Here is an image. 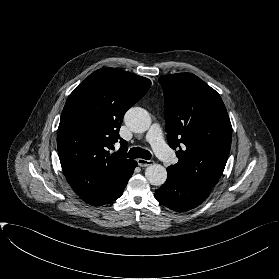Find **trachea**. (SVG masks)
Listing matches in <instances>:
<instances>
[{"instance_id": "trachea-1", "label": "trachea", "mask_w": 279, "mask_h": 279, "mask_svg": "<svg viewBox=\"0 0 279 279\" xmlns=\"http://www.w3.org/2000/svg\"><path fill=\"white\" fill-rule=\"evenodd\" d=\"M127 156L128 158H142L146 160L151 159V153L148 150L142 149L140 147L131 148Z\"/></svg>"}]
</instances>
